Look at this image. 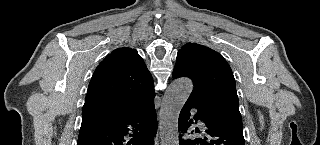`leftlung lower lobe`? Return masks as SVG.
Segmentation results:
<instances>
[{"mask_svg": "<svg viewBox=\"0 0 320 145\" xmlns=\"http://www.w3.org/2000/svg\"><path fill=\"white\" fill-rule=\"evenodd\" d=\"M179 77H182V75L173 73L174 79ZM192 108L197 109L194 119H199L205 123L206 130L204 131V134L206 136L204 138L196 139L180 138V145H244L242 127L217 120L211 115L207 114L199 107L192 94L184 104L179 115V131L184 133L187 132L188 128L193 123V120L190 119V110ZM195 132L200 131L198 128H196Z\"/></svg>", "mask_w": 320, "mask_h": 145, "instance_id": "1", "label": "left lung lower lobe"}]
</instances>
